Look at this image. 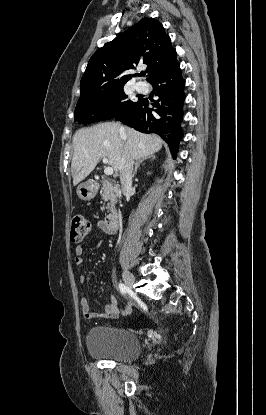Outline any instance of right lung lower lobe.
<instances>
[{
    "instance_id": "98d812e1",
    "label": "right lung lower lobe",
    "mask_w": 266,
    "mask_h": 415,
    "mask_svg": "<svg viewBox=\"0 0 266 415\" xmlns=\"http://www.w3.org/2000/svg\"><path fill=\"white\" fill-rule=\"evenodd\" d=\"M150 84L155 95L159 97L152 103L153 108H149L148 99L141 98L115 119L140 132L158 134L176 157L179 142L183 137L181 122L185 100V81L180 66L177 65L172 70L156 76Z\"/></svg>"
}]
</instances>
